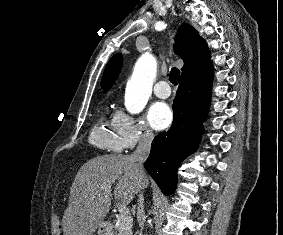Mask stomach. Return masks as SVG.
Wrapping results in <instances>:
<instances>
[{"instance_id": "1", "label": "stomach", "mask_w": 283, "mask_h": 235, "mask_svg": "<svg viewBox=\"0 0 283 235\" xmlns=\"http://www.w3.org/2000/svg\"><path fill=\"white\" fill-rule=\"evenodd\" d=\"M96 230L97 235H111L112 233V228L108 222H102Z\"/></svg>"}]
</instances>
